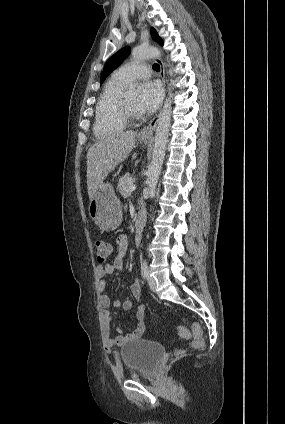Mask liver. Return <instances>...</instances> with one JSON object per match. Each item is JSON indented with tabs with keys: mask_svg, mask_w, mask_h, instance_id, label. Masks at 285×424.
Masks as SVG:
<instances>
[{
	"mask_svg": "<svg viewBox=\"0 0 285 424\" xmlns=\"http://www.w3.org/2000/svg\"><path fill=\"white\" fill-rule=\"evenodd\" d=\"M134 131L117 132L103 137L87 152V189L92 199L108 174L130 155L135 145ZM136 153L132 158L135 159Z\"/></svg>",
	"mask_w": 285,
	"mask_h": 424,
	"instance_id": "6515ba94",
	"label": "liver"
}]
</instances>
